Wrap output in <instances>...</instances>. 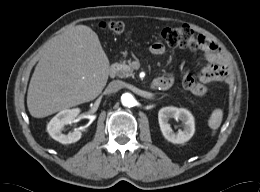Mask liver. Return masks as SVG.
Here are the masks:
<instances>
[{"mask_svg": "<svg viewBox=\"0 0 260 192\" xmlns=\"http://www.w3.org/2000/svg\"><path fill=\"white\" fill-rule=\"evenodd\" d=\"M109 67L97 34L85 25L73 27L35 67L27 93L30 114L43 118L95 99L107 83Z\"/></svg>", "mask_w": 260, "mask_h": 192, "instance_id": "obj_1", "label": "liver"}]
</instances>
